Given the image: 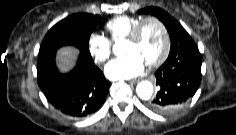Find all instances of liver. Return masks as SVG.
<instances>
[{
    "instance_id": "obj_1",
    "label": "liver",
    "mask_w": 236,
    "mask_h": 135,
    "mask_svg": "<svg viewBox=\"0 0 236 135\" xmlns=\"http://www.w3.org/2000/svg\"><path fill=\"white\" fill-rule=\"evenodd\" d=\"M77 53L78 50L72 47H66L58 51V67L62 72L69 71L73 67Z\"/></svg>"
}]
</instances>
